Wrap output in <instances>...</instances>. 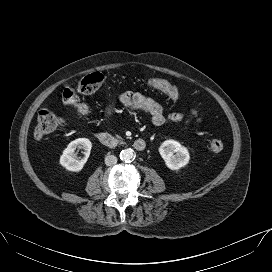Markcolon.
Wrapping results in <instances>:
<instances>
[{
  "instance_id": "obj_1",
  "label": "colon",
  "mask_w": 272,
  "mask_h": 272,
  "mask_svg": "<svg viewBox=\"0 0 272 272\" xmlns=\"http://www.w3.org/2000/svg\"><path fill=\"white\" fill-rule=\"evenodd\" d=\"M103 76L100 73H92L84 77L77 85L66 87L62 93L63 104L76 112L78 115L84 116L88 114L89 107L81 101V96H91L95 94L103 83ZM146 85L150 88L160 90L172 99L179 98L178 89L169 82L161 79H149ZM61 117L48 109L39 111L37 122L34 130V136L37 140H42L50 133L55 131L61 123ZM224 144L220 139H212L209 142V149L214 153L223 150Z\"/></svg>"
}]
</instances>
